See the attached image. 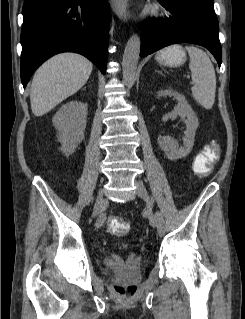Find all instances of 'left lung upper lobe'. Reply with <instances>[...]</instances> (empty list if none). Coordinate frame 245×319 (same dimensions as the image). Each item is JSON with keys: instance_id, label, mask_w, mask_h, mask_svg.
I'll return each mask as SVG.
<instances>
[{"instance_id": "obj_1", "label": "left lung upper lobe", "mask_w": 245, "mask_h": 319, "mask_svg": "<svg viewBox=\"0 0 245 319\" xmlns=\"http://www.w3.org/2000/svg\"><path fill=\"white\" fill-rule=\"evenodd\" d=\"M189 1H192L198 5H201L203 7L208 8V9L214 10L213 0H189Z\"/></svg>"}]
</instances>
